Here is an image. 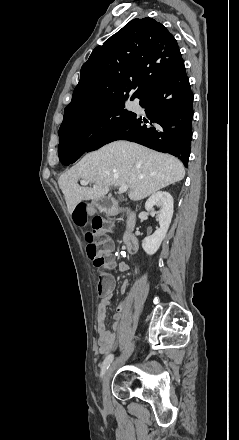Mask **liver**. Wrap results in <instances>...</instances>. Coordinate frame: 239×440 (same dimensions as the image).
I'll return each instance as SVG.
<instances>
[{
    "instance_id": "obj_1",
    "label": "liver",
    "mask_w": 239,
    "mask_h": 440,
    "mask_svg": "<svg viewBox=\"0 0 239 440\" xmlns=\"http://www.w3.org/2000/svg\"><path fill=\"white\" fill-rule=\"evenodd\" d=\"M139 176H144L140 180ZM185 176L182 162L148 150L133 142H112L97 152L86 154L76 166L62 174L58 180L69 214L83 200H98L109 192V186H129L130 200H144L158 190L180 182ZM78 180L94 184L82 188Z\"/></svg>"
}]
</instances>
